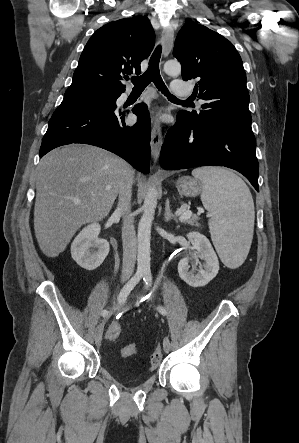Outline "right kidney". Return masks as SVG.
<instances>
[{
    "mask_svg": "<svg viewBox=\"0 0 299 443\" xmlns=\"http://www.w3.org/2000/svg\"><path fill=\"white\" fill-rule=\"evenodd\" d=\"M100 230L98 223H91L79 232L71 244L73 260L89 271L99 267L110 250L107 240L98 238Z\"/></svg>",
    "mask_w": 299,
    "mask_h": 443,
    "instance_id": "ca27d5eb",
    "label": "right kidney"
}]
</instances>
